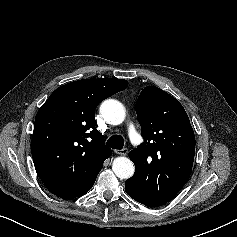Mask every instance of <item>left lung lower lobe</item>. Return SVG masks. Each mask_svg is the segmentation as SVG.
Here are the masks:
<instances>
[{
	"mask_svg": "<svg viewBox=\"0 0 237 237\" xmlns=\"http://www.w3.org/2000/svg\"><path fill=\"white\" fill-rule=\"evenodd\" d=\"M132 178V177H131ZM127 179L126 180V184H125V191L129 194L130 197H132L134 200L146 205V206H149V207H157V206H152L148 203H143V201H141V199L139 198L138 194L136 193L134 187H133V182H132V179Z\"/></svg>",
	"mask_w": 237,
	"mask_h": 237,
	"instance_id": "1",
	"label": "left lung lower lobe"
}]
</instances>
